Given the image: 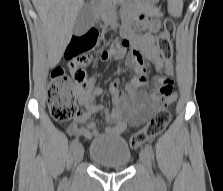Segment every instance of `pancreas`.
<instances>
[{
	"label": "pancreas",
	"mask_w": 223,
	"mask_h": 191,
	"mask_svg": "<svg viewBox=\"0 0 223 191\" xmlns=\"http://www.w3.org/2000/svg\"><path fill=\"white\" fill-rule=\"evenodd\" d=\"M121 0H99L94 6V14L96 19H101L104 23H108L114 15L117 4Z\"/></svg>",
	"instance_id": "1"
}]
</instances>
